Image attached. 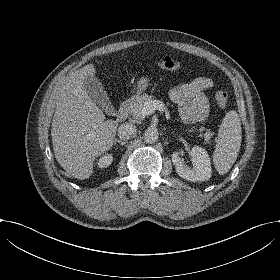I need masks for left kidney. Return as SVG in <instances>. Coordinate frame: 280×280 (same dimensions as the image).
Listing matches in <instances>:
<instances>
[{
    "label": "left kidney",
    "instance_id": "obj_1",
    "mask_svg": "<svg viewBox=\"0 0 280 280\" xmlns=\"http://www.w3.org/2000/svg\"><path fill=\"white\" fill-rule=\"evenodd\" d=\"M189 155L193 164L192 168L186 165V162L179 157L178 152L172 154V162L178 175L192 182L209 180L212 170L207 151L202 147L194 146Z\"/></svg>",
    "mask_w": 280,
    "mask_h": 280
}]
</instances>
